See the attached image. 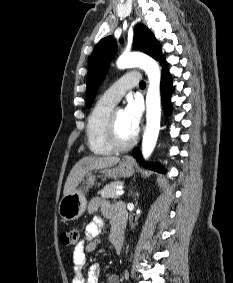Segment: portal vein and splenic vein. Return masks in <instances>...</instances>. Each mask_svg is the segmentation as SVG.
I'll use <instances>...</instances> for the list:
<instances>
[{
	"mask_svg": "<svg viewBox=\"0 0 233 283\" xmlns=\"http://www.w3.org/2000/svg\"><path fill=\"white\" fill-rule=\"evenodd\" d=\"M117 196L123 195L124 194V190L123 189H118L115 193Z\"/></svg>",
	"mask_w": 233,
	"mask_h": 283,
	"instance_id": "1",
	"label": "portal vein and splenic vein"
}]
</instances>
